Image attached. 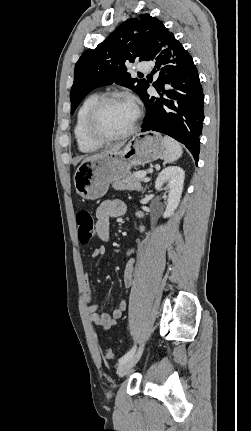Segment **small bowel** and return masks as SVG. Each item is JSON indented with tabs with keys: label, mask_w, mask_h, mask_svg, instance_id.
Wrapping results in <instances>:
<instances>
[{
	"label": "small bowel",
	"mask_w": 251,
	"mask_h": 431,
	"mask_svg": "<svg viewBox=\"0 0 251 431\" xmlns=\"http://www.w3.org/2000/svg\"><path fill=\"white\" fill-rule=\"evenodd\" d=\"M126 210V204L121 200H107L102 202L98 206V208L96 209V233L100 240L104 242H108L110 240V219L124 216ZM133 252L134 249H131L129 251V254L131 255L133 254ZM105 254L106 247L104 245H99L93 250L91 257L92 259H97L105 256ZM134 261V258L130 257L125 266L124 284L126 287H130L132 283V271ZM104 264L106 266H109L110 262L108 260H105ZM84 296L87 305V311L90 315L91 321L96 326H99L105 330L110 329L117 324V321L121 318L126 307L125 300H122L120 301L118 306L112 311V313L101 312L99 310V305L92 297L88 273H86L84 276Z\"/></svg>",
	"instance_id": "small-bowel-1"
}]
</instances>
